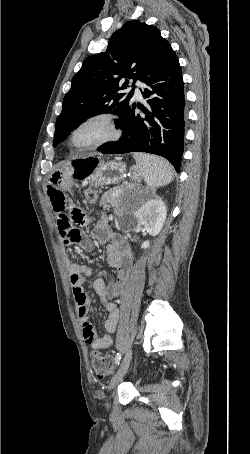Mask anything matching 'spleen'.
<instances>
[{"label":"spleen","instance_id":"1","mask_svg":"<svg viewBox=\"0 0 250 454\" xmlns=\"http://www.w3.org/2000/svg\"><path fill=\"white\" fill-rule=\"evenodd\" d=\"M133 157L137 169L150 188L168 185L173 180L172 167L165 159L144 153H135Z\"/></svg>","mask_w":250,"mask_h":454}]
</instances>
